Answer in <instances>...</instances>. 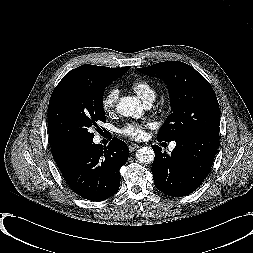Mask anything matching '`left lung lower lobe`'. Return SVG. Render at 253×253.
<instances>
[{
	"label": "left lung lower lobe",
	"mask_w": 253,
	"mask_h": 253,
	"mask_svg": "<svg viewBox=\"0 0 253 253\" xmlns=\"http://www.w3.org/2000/svg\"><path fill=\"white\" fill-rule=\"evenodd\" d=\"M175 142L176 147L171 154L162 153L157 145L152 146L155 152L152 173L158 190L169 196L182 197L195 191L208 175L219 136L192 134Z\"/></svg>",
	"instance_id": "0a47b994"
}]
</instances>
